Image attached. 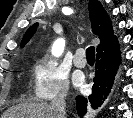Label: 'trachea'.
<instances>
[{
    "label": "trachea",
    "instance_id": "trachea-1",
    "mask_svg": "<svg viewBox=\"0 0 133 118\" xmlns=\"http://www.w3.org/2000/svg\"><path fill=\"white\" fill-rule=\"evenodd\" d=\"M86 58L87 60L95 59V47L94 46H90L86 49Z\"/></svg>",
    "mask_w": 133,
    "mask_h": 118
}]
</instances>
